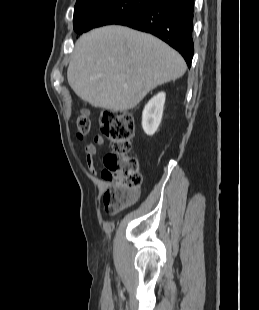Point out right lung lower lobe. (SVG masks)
Masks as SVG:
<instances>
[{
	"label": "right lung lower lobe",
	"instance_id": "1",
	"mask_svg": "<svg viewBox=\"0 0 259 310\" xmlns=\"http://www.w3.org/2000/svg\"><path fill=\"white\" fill-rule=\"evenodd\" d=\"M194 0H156L115 24L151 33L176 49L191 66Z\"/></svg>",
	"mask_w": 259,
	"mask_h": 310
}]
</instances>
